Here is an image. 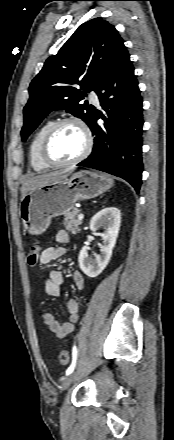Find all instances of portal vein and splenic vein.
Segmentation results:
<instances>
[{
  "label": "portal vein and splenic vein",
  "instance_id": "obj_1",
  "mask_svg": "<svg viewBox=\"0 0 174 440\" xmlns=\"http://www.w3.org/2000/svg\"><path fill=\"white\" fill-rule=\"evenodd\" d=\"M83 219H84V215H83V214H79V215H78V220H79V221H82Z\"/></svg>",
  "mask_w": 174,
  "mask_h": 440
}]
</instances>
